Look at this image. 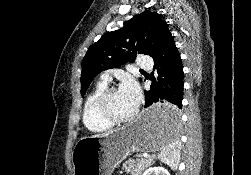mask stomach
<instances>
[{"label":"stomach","mask_w":251,"mask_h":175,"mask_svg":"<svg viewBox=\"0 0 251 175\" xmlns=\"http://www.w3.org/2000/svg\"><path fill=\"white\" fill-rule=\"evenodd\" d=\"M171 111H178V106L155 105L141 111L130 125L115 129L105 137L85 135L72 151L73 175H111L131 151L151 154L167 141H177V136L165 134H178V129H162L182 127L178 123L181 114H170Z\"/></svg>","instance_id":"0dacf381"}]
</instances>
